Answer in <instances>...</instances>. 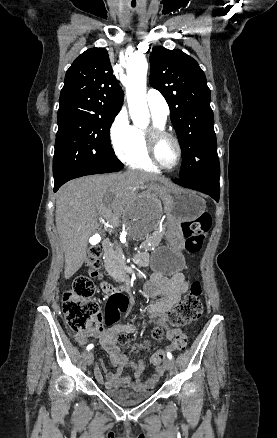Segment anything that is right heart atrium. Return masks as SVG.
<instances>
[{"instance_id": "right-heart-atrium-1", "label": "right heart atrium", "mask_w": 277, "mask_h": 438, "mask_svg": "<svg viewBox=\"0 0 277 438\" xmlns=\"http://www.w3.org/2000/svg\"><path fill=\"white\" fill-rule=\"evenodd\" d=\"M110 136L117 153L129 149L132 142V126L124 112H120L114 119L110 128Z\"/></svg>"}]
</instances>
